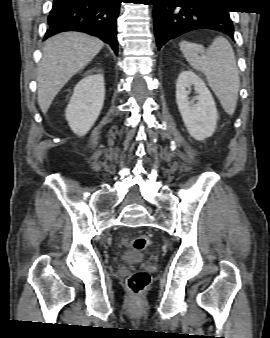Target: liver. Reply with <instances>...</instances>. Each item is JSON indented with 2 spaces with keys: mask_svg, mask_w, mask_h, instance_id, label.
<instances>
[{
  "mask_svg": "<svg viewBox=\"0 0 270 338\" xmlns=\"http://www.w3.org/2000/svg\"><path fill=\"white\" fill-rule=\"evenodd\" d=\"M103 46L104 43L100 39L78 32L61 33L46 42L37 74V101L44 114L62 87L81 71Z\"/></svg>",
  "mask_w": 270,
  "mask_h": 338,
  "instance_id": "6515ba94",
  "label": "liver"
}]
</instances>
